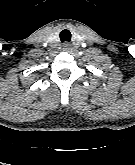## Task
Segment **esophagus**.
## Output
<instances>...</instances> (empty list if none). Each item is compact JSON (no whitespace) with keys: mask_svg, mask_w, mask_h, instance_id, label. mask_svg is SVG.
Wrapping results in <instances>:
<instances>
[{"mask_svg":"<svg viewBox=\"0 0 135 165\" xmlns=\"http://www.w3.org/2000/svg\"><path fill=\"white\" fill-rule=\"evenodd\" d=\"M62 49L64 51H69L71 49V44L68 43V42H65L63 45H62Z\"/></svg>","mask_w":135,"mask_h":165,"instance_id":"esophagus-1","label":"esophagus"}]
</instances>
